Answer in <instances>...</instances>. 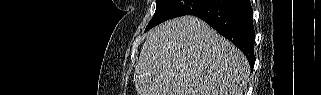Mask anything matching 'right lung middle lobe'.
Wrapping results in <instances>:
<instances>
[{
    "label": "right lung middle lobe",
    "mask_w": 321,
    "mask_h": 95,
    "mask_svg": "<svg viewBox=\"0 0 321 95\" xmlns=\"http://www.w3.org/2000/svg\"><path fill=\"white\" fill-rule=\"evenodd\" d=\"M210 0H156V11L145 31L178 16L188 15L207 4Z\"/></svg>",
    "instance_id": "right-lung-middle-lobe-1"
}]
</instances>
